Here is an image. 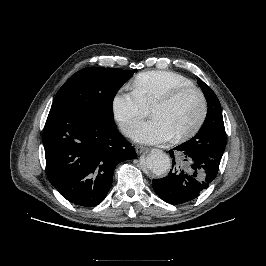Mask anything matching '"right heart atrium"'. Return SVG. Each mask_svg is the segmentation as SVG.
Returning <instances> with one entry per match:
<instances>
[{
	"mask_svg": "<svg viewBox=\"0 0 266 266\" xmlns=\"http://www.w3.org/2000/svg\"><path fill=\"white\" fill-rule=\"evenodd\" d=\"M112 112L121 131L130 135L134 127L147 116L149 109L136 92L121 89L113 96Z\"/></svg>",
	"mask_w": 266,
	"mask_h": 266,
	"instance_id": "d8ad5b80",
	"label": "right heart atrium"
}]
</instances>
